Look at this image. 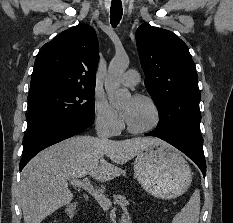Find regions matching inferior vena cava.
I'll list each match as a JSON object with an SVG mask.
<instances>
[{
    "label": "inferior vena cava",
    "mask_w": 233,
    "mask_h": 223,
    "mask_svg": "<svg viewBox=\"0 0 233 223\" xmlns=\"http://www.w3.org/2000/svg\"><path fill=\"white\" fill-rule=\"evenodd\" d=\"M108 125L106 121H99L97 125V135L99 139H102V141H108V137H110L111 133H109L107 129Z\"/></svg>",
    "instance_id": "602c4592"
}]
</instances>
